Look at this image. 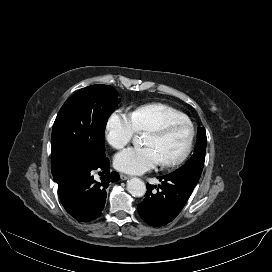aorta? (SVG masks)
<instances>
[{
    "mask_svg": "<svg viewBox=\"0 0 272 272\" xmlns=\"http://www.w3.org/2000/svg\"><path fill=\"white\" fill-rule=\"evenodd\" d=\"M135 141H138L137 137ZM127 190L134 197H142L146 193V185L141 179L132 178L127 181Z\"/></svg>",
    "mask_w": 272,
    "mask_h": 272,
    "instance_id": "762f6f07",
    "label": "aorta"
}]
</instances>
